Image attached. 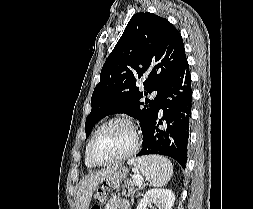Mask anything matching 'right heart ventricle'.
Returning a JSON list of instances; mask_svg holds the SVG:
<instances>
[{"instance_id": "right-heart-ventricle-1", "label": "right heart ventricle", "mask_w": 253, "mask_h": 209, "mask_svg": "<svg viewBox=\"0 0 253 209\" xmlns=\"http://www.w3.org/2000/svg\"><path fill=\"white\" fill-rule=\"evenodd\" d=\"M88 145H89V143L87 144L86 149H85V159L84 160H85V165L88 168H92L93 166L91 165L89 158H88Z\"/></svg>"}]
</instances>
